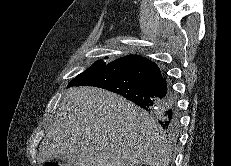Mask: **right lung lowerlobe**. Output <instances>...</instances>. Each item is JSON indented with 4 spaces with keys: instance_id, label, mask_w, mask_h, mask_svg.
Here are the masks:
<instances>
[{
    "instance_id": "1",
    "label": "right lung lower lobe",
    "mask_w": 231,
    "mask_h": 166,
    "mask_svg": "<svg viewBox=\"0 0 231 166\" xmlns=\"http://www.w3.org/2000/svg\"><path fill=\"white\" fill-rule=\"evenodd\" d=\"M75 86L100 87L156 112L160 124L171 134L179 129L176 98L159 67L143 56H125L105 65Z\"/></svg>"
}]
</instances>
